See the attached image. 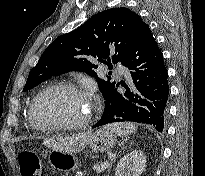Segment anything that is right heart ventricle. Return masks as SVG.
Instances as JSON below:
<instances>
[{
	"mask_svg": "<svg viewBox=\"0 0 205 176\" xmlns=\"http://www.w3.org/2000/svg\"><path fill=\"white\" fill-rule=\"evenodd\" d=\"M28 120H29V123L33 126L31 120H30V116H29V113H28Z\"/></svg>",
	"mask_w": 205,
	"mask_h": 176,
	"instance_id": "obj_1",
	"label": "right heart ventricle"
}]
</instances>
